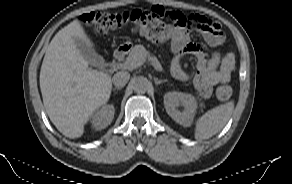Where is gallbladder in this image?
Masks as SVG:
<instances>
[{"label": "gallbladder", "mask_w": 292, "mask_h": 184, "mask_svg": "<svg viewBox=\"0 0 292 184\" xmlns=\"http://www.w3.org/2000/svg\"><path fill=\"white\" fill-rule=\"evenodd\" d=\"M75 43L81 55L91 65L100 66L101 63H103V57L98 55L87 42L79 38H75Z\"/></svg>", "instance_id": "gallbladder-1"}]
</instances>
